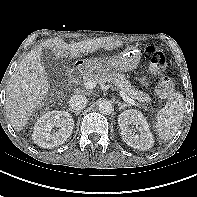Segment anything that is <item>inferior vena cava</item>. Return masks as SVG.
I'll use <instances>...</instances> for the list:
<instances>
[{"mask_svg": "<svg viewBox=\"0 0 197 197\" xmlns=\"http://www.w3.org/2000/svg\"><path fill=\"white\" fill-rule=\"evenodd\" d=\"M87 98L82 94L73 95L69 100V106L75 112H80L87 105Z\"/></svg>", "mask_w": 197, "mask_h": 197, "instance_id": "1", "label": "inferior vena cava"}]
</instances>
